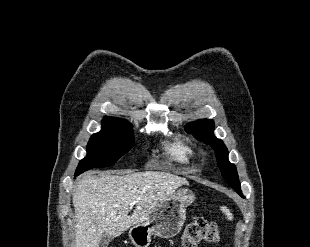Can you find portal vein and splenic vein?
<instances>
[{"label":"portal vein and splenic vein","mask_w":310,"mask_h":247,"mask_svg":"<svg viewBox=\"0 0 310 247\" xmlns=\"http://www.w3.org/2000/svg\"><path fill=\"white\" fill-rule=\"evenodd\" d=\"M135 204V202H132L130 205L133 206Z\"/></svg>","instance_id":"1"}]
</instances>
